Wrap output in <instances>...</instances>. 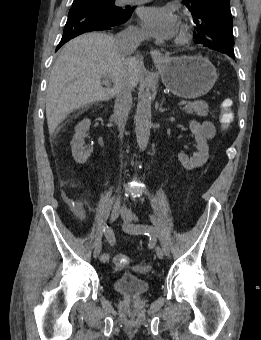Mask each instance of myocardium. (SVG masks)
Segmentation results:
<instances>
[{
  "label": "myocardium",
  "mask_w": 261,
  "mask_h": 340,
  "mask_svg": "<svg viewBox=\"0 0 261 340\" xmlns=\"http://www.w3.org/2000/svg\"><path fill=\"white\" fill-rule=\"evenodd\" d=\"M186 41H187V37L184 34L179 36L178 38L179 43H185Z\"/></svg>",
  "instance_id": "f54148a6"
}]
</instances>
